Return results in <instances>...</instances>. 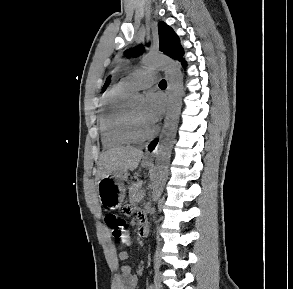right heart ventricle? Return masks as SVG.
<instances>
[{
    "label": "right heart ventricle",
    "instance_id": "1",
    "mask_svg": "<svg viewBox=\"0 0 293 289\" xmlns=\"http://www.w3.org/2000/svg\"><path fill=\"white\" fill-rule=\"evenodd\" d=\"M130 91L120 83L113 86L103 97L100 115V131L103 146L117 148L130 143L126 133V99Z\"/></svg>",
    "mask_w": 293,
    "mask_h": 289
}]
</instances>
